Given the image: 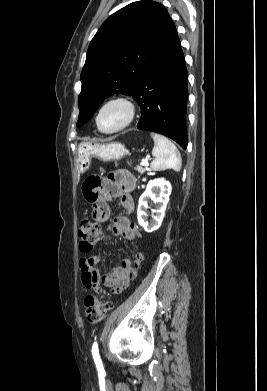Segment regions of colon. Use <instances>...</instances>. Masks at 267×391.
<instances>
[{"mask_svg":"<svg viewBox=\"0 0 267 391\" xmlns=\"http://www.w3.org/2000/svg\"><path fill=\"white\" fill-rule=\"evenodd\" d=\"M102 234L103 229L100 223L87 219L82 220L78 228L80 251L83 253L91 252L101 239ZM112 307L110 301L101 300L93 295H88L85 298V312L90 323L102 321Z\"/></svg>","mask_w":267,"mask_h":391,"instance_id":"obj_1","label":"colon"}]
</instances>
